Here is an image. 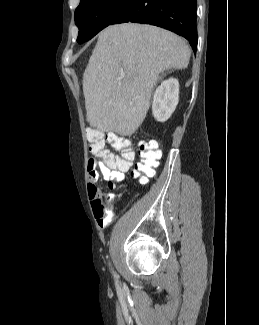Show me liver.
Listing matches in <instances>:
<instances>
[{
    "label": "liver",
    "mask_w": 259,
    "mask_h": 325,
    "mask_svg": "<svg viewBox=\"0 0 259 325\" xmlns=\"http://www.w3.org/2000/svg\"><path fill=\"white\" fill-rule=\"evenodd\" d=\"M190 55L181 37L156 26L122 23L105 28L83 74L90 126L131 136L147 115L159 75L185 69Z\"/></svg>",
    "instance_id": "obj_1"
}]
</instances>
